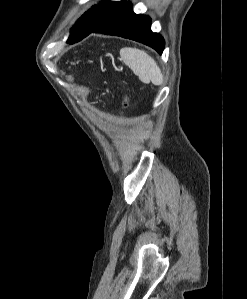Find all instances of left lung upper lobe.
<instances>
[{"mask_svg":"<svg viewBox=\"0 0 247 299\" xmlns=\"http://www.w3.org/2000/svg\"><path fill=\"white\" fill-rule=\"evenodd\" d=\"M125 1L118 2H100L99 5L93 6L77 21L71 29V35L68 43L73 44L80 40L86 33L94 29L106 18L117 11Z\"/></svg>","mask_w":247,"mask_h":299,"instance_id":"1","label":"left lung upper lobe"}]
</instances>
